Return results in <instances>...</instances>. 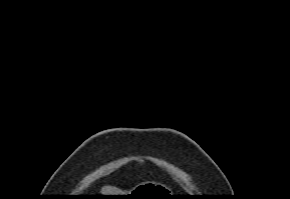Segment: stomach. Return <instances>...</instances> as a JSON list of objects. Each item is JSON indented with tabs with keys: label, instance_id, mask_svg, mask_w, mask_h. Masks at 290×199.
I'll use <instances>...</instances> for the list:
<instances>
[{
	"label": "stomach",
	"instance_id": "obj_1",
	"mask_svg": "<svg viewBox=\"0 0 290 199\" xmlns=\"http://www.w3.org/2000/svg\"><path fill=\"white\" fill-rule=\"evenodd\" d=\"M160 187H163V186H159L158 183H154V182H146V183L141 184L140 186L135 188L132 192L126 195L134 196L140 193L143 196H152L154 195V193L158 191ZM163 189H166V187H164Z\"/></svg>",
	"mask_w": 290,
	"mask_h": 199
}]
</instances>
